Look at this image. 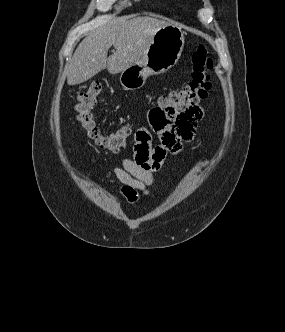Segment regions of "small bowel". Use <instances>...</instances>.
<instances>
[{
  "instance_id": "obj_1",
  "label": "small bowel",
  "mask_w": 285,
  "mask_h": 332,
  "mask_svg": "<svg viewBox=\"0 0 285 332\" xmlns=\"http://www.w3.org/2000/svg\"><path fill=\"white\" fill-rule=\"evenodd\" d=\"M146 115L150 130L140 127L136 131L133 157H124L121 166L113 170L122 184L123 196L130 203L137 201L139 193L148 195L149 188L156 186L155 172L167 153L179 151L193 139L203 110L197 105L183 112L174 106H149ZM151 133L158 134L159 145L153 146Z\"/></svg>"
}]
</instances>
